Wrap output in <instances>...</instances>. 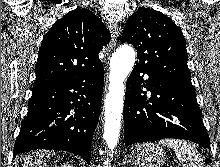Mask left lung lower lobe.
Listing matches in <instances>:
<instances>
[{"instance_id": "0a47b994", "label": "left lung lower lobe", "mask_w": 220, "mask_h": 167, "mask_svg": "<svg viewBox=\"0 0 220 167\" xmlns=\"http://www.w3.org/2000/svg\"><path fill=\"white\" fill-rule=\"evenodd\" d=\"M141 73L149 76L145 82ZM124 130L125 146L180 138L210 149L191 81L167 78L137 65L126 84Z\"/></svg>"}]
</instances>
